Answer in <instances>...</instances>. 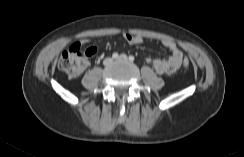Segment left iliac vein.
<instances>
[{"label": "left iliac vein", "mask_w": 244, "mask_h": 157, "mask_svg": "<svg viewBox=\"0 0 244 157\" xmlns=\"http://www.w3.org/2000/svg\"><path fill=\"white\" fill-rule=\"evenodd\" d=\"M116 60L117 61H128V57L125 54H122Z\"/></svg>", "instance_id": "left-iliac-vein-1"}]
</instances>
